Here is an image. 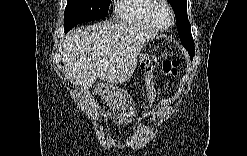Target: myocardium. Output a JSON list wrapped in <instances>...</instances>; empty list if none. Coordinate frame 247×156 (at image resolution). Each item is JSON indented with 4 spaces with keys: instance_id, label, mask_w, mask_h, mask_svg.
Wrapping results in <instances>:
<instances>
[{
    "instance_id": "1",
    "label": "myocardium",
    "mask_w": 247,
    "mask_h": 156,
    "mask_svg": "<svg viewBox=\"0 0 247 156\" xmlns=\"http://www.w3.org/2000/svg\"><path fill=\"white\" fill-rule=\"evenodd\" d=\"M160 6H165L170 14V23L167 26H162L160 25L155 17V13L156 10L160 7ZM149 17L151 22L153 23V25L159 29V30H168L169 28H171L174 23H175V16H174V12L172 10V7L170 6V4L167 1L164 0H155L152 2L150 9H149Z\"/></svg>"
}]
</instances>
